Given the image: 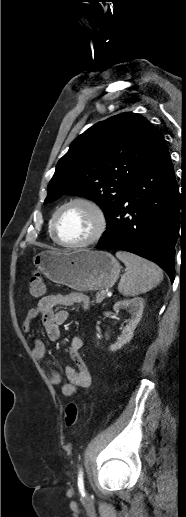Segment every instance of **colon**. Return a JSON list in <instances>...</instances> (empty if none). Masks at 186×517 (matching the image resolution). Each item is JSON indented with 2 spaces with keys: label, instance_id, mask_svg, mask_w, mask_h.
<instances>
[{
  "label": "colon",
  "instance_id": "colon-1",
  "mask_svg": "<svg viewBox=\"0 0 186 517\" xmlns=\"http://www.w3.org/2000/svg\"><path fill=\"white\" fill-rule=\"evenodd\" d=\"M45 286L39 272H33L29 280L28 292L31 299L36 300L43 296ZM79 408L76 402L67 405L65 411V424L68 427L75 425L78 419Z\"/></svg>",
  "mask_w": 186,
  "mask_h": 517
}]
</instances>
